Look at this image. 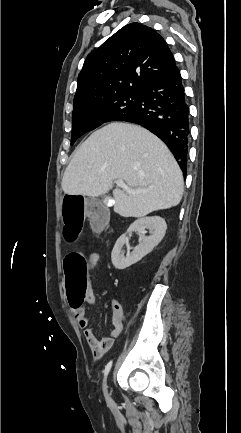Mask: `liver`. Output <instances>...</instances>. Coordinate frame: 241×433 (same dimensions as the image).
I'll return each mask as SVG.
<instances>
[{
	"mask_svg": "<svg viewBox=\"0 0 241 433\" xmlns=\"http://www.w3.org/2000/svg\"><path fill=\"white\" fill-rule=\"evenodd\" d=\"M122 179L135 194L114 189V212L143 217L177 206L184 182L178 163L167 146L138 125L113 122L95 131L75 151L62 178L67 195L96 197Z\"/></svg>",
	"mask_w": 241,
	"mask_h": 433,
	"instance_id": "obj_1",
	"label": "liver"
}]
</instances>
